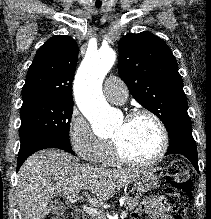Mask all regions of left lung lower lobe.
I'll return each mask as SVG.
<instances>
[{"mask_svg": "<svg viewBox=\"0 0 211 219\" xmlns=\"http://www.w3.org/2000/svg\"><path fill=\"white\" fill-rule=\"evenodd\" d=\"M168 134L170 143L165 155H184L190 160L195 169L199 172L197 147L192 136L191 124H181L172 129V131Z\"/></svg>", "mask_w": 211, "mask_h": 219, "instance_id": "left-lung-lower-lobe-1", "label": "left lung lower lobe"}]
</instances>
